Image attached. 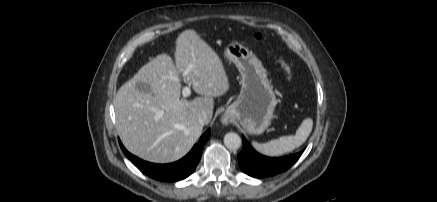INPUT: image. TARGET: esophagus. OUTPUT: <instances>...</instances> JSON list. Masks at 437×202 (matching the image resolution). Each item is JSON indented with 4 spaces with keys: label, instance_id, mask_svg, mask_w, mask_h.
Masks as SVG:
<instances>
[{
    "label": "esophagus",
    "instance_id": "1",
    "mask_svg": "<svg viewBox=\"0 0 437 202\" xmlns=\"http://www.w3.org/2000/svg\"><path fill=\"white\" fill-rule=\"evenodd\" d=\"M223 122L227 123V122H228V119H227V118H224V119H223Z\"/></svg>",
    "mask_w": 437,
    "mask_h": 202
}]
</instances>
